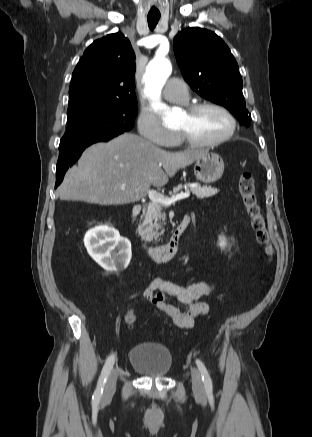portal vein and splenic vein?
I'll return each instance as SVG.
<instances>
[{
  "mask_svg": "<svg viewBox=\"0 0 312 437\" xmlns=\"http://www.w3.org/2000/svg\"><path fill=\"white\" fill-rule=\"evenodd\" d=\"M124 188H125L124 186L121 187V189H124ZM147 194L152 202L161 203L164 205H170L178 200H182V199L188 198L190 196V193L185 192V193H180V194H177L175 196H172L171 198H168V197H165L164 195L158 193L155 190H147Z\"/></svg>",
  "mask_w": 312,
  "mask_h": 437,
  "instance_id": "portal-vein-and-splenic-vein-1",
  "label": "portal vein and splenic vein"
}]
</instances>
